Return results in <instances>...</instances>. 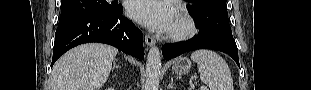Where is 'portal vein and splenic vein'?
Here are the masks:
<instances>
[{"instance_id":"1","label":"portal vein and splenic vein","mask_w":311,"mask_h":90,"mask_svg":"<svg viewBox=\"0 0 311 90\" xmlns=\"http://www.w3.org/2000/svg\"><path fill=\"white\" fill-rule=\"evenodd\" d=\"M201 89H202V90H206L207 88H206L205 86H202Z\"/></svg>"}]
</instances>
